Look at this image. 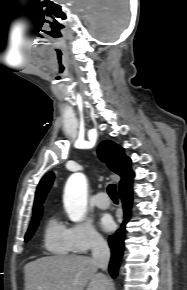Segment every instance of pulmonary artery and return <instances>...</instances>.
<instances>
[{
    "mask_svg": "<svg viewBox=\"0 0 187 290\" xmlns=\"http://www.w3.org/2000/svg\"><path fill=\"white\" fill-rule=\"evenodd\" d=\"M94 204L101 208L106 209L110 206L108 195L105 192H99L94 197Z\"/></svg>",
    "mask_w": 187,
    "mask_h": 290,
    "instance_id": "e3ab8cb5",
    "label": "pulmonary artery"
}]
</instances>
